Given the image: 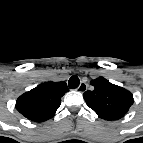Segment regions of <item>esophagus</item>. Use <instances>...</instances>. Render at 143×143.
I'll return each instance as SVG.
<instances>
[{
  "label": "esophagus",
  "mask_w": 143,
  "mask_h": 143,
  "mask_svg": "<svg viewBox=\"0 0 143 143\" xmlns=\"http://www.w3.org/2000/svg\"><path fill=\"white\" fill-rule=\"evenodd\" d=\"M77 90L81 93H84L87 90V84L85 82H81Z\"/></svg>",
  "instance_id": "esophagus-1"
}]
</instances>
